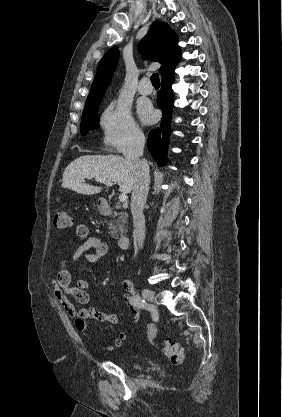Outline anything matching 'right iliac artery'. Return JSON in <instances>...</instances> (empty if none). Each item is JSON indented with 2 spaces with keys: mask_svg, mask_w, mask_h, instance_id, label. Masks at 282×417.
Returning <instances> with one entry per match:
<instances>
[{
  "mask_svg": "<svg viewBox=\"0 0 282 417\" xmlns=\"http://www.w3.org/2000/svg\"><path fill=\"white\" fill-rule=\"evenodd\" d=\"M133 302L139 308H143V309L148 308V304L146 303V301L139 294H136L133 297Z\"/></svg>",
  "mask_w": 282,
  "mask_h": 417,
  "instance_id": "82829eb1",
  "label": "right iliac artery"
}]
</instances>
